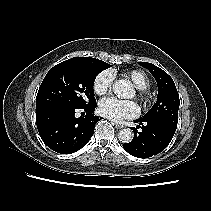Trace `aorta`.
<instances>
[{"mask_svg": "<svg viewBox=\"0 0 211 211\" xmlns=\"http://www.w3.org/2000/svg\"><path fill=\"white\" fill-rule=\"evenodd\" d=\"M114 94L118 98H129L133 94L131 83L126 80H117L113 84ZM118 139L123 143H129L133 139V132L129 128L121 129L118 133Z\"/></svg>", "mask_w": 211, "mask_h": 211, "instance_id": "762f6f07", "label": "aorta"}]
</instances>
